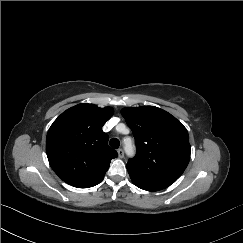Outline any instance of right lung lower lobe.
<instances>
[{
  "label": "right lung lower lobe",
  "instance_id": "right-lung-lower-lobe-1",
  "mask_svg": "<svg viewBox=\"0 0 243 243\" xmlns=\"http://www.w3.org/2000/svg\"><path fill=\"white\" fill-rule=\"evenodd\" d=\"M102 180H103V179H101L100 181H98V182H96V183H94V184H92V185H90V186H88V187L95 186V185H97L98 183H100ZM88 187H86V188H88Z\"/></svg>",
  "mask_w": 243,
  "mask_h": 243
}]
</instances>
